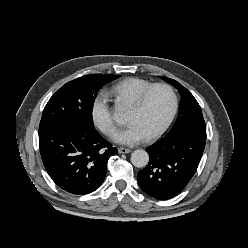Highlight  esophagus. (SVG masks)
<instances>
[{
  "label": "esophagus",
  "mask_w": 248,
  "mask_h": 248,
  "mask_svg": "<svg viewBox=\"0 0 248 248\" xmlns=\"http://www.w3.org/2000/svg\"><path fill=\"white\" fill-rule=\"evenodd\" d=\"M118 152H119L120 154H127V153H130L131 150L128 149V148L120 147V148H118Z\"/></svg>",
  "instance_id": "obj_1"
}]
</instances>
